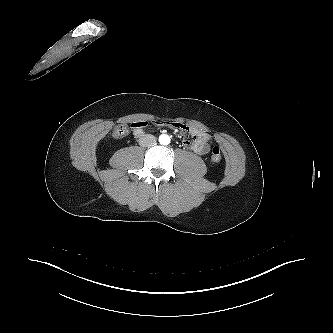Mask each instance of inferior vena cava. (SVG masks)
I'll return each instance as SVG.
<instances>
[{"mask_svg": "<svg viewBox=\"0 0 333 333\" xmlns=\"http://www.w3.org/2000/svg\"><path fill=\"white\" fill-rule=\"evenodd\" d=\"M156 144V139L151 134H145L139 139V145L142 147H150Z\"/></svg>", "mask_w": 333, "mask_h": 333, "instance_id": "obj_1", "label": "inferior vena cava"}]
</instances>
